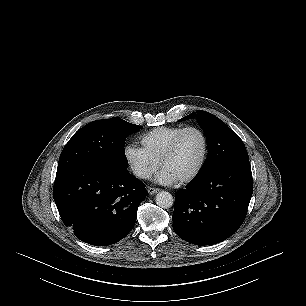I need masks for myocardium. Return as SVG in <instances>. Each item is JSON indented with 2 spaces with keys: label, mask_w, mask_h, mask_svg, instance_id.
<instances>
[{
  "label": "myocardium",
  "mask_w": 306,
  "mask_h": 306,
  "mask_svg": "<svg viewBox=\"0 0 306 306\" xmlns=\"http://www.w3.org/2000/svg\"><path fill=\"white\" fill-rule=\"evenodd\" d=\"M189 131H196L198 132L202 139H203V143H204V149H203V154H202V158L200 160V163L198 164V166L196 167V169L188 176L179 179L178 182L179 183H188L193 181L194 179H196L200 173L202 172L207 158H208V153H209V140L208 137L206 135V133L199 127L197 126H188L183 128L178 134L177 136L173 139V141L171 142V144L169 145L168 149L166 150V152L164 153L161 161H160V166L163 168L165 163L175 154L178 145L182 139V137Z\"/></svg>",
  "instance_id": "myocardium-1"
}]
</instances>
